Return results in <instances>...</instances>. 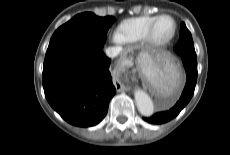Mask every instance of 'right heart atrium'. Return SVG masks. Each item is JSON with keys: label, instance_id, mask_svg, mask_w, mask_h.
<instances>
[{"label": "right heart atrium", "instance_id": "1", "mask_svg": "<svg viewBox=\"0 0 230 155\" xmlns=\"http://www.w3.org/2000/svg\"><path fill=\"white\" fill-rule=\"evenodd\" d=\"M113 40H114V41H118L117 38H116V36L113 37Z\"/></svg>", "mask_w": 230, "mask_h": 155}]
</instances>
